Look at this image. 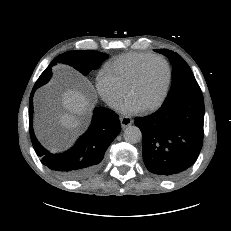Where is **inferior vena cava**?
I'll list each match as a JSON object with an SVG mask.
<instances>
[{
	"instance_id": "inferior-vena-cava-1",
	"label": "inferior vena cava",
	"mask_w": 231,
	"mask_h": 231,
	"mask_svg": "<svg viewBox=\"0 0 231 231\" xmlns=\"http://www.w3.org/2000/svg\"><path fill=\"white\" fill-rule=\"evenodd\" d=\"M105 102L111 107L117 106V102L113 98H105Z\"/></svg>"
}]
</instances>
